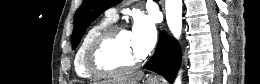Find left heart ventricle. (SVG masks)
<instances>
[{"label": "left heart ventricle", "instance_id": "1", "mask_svg": "<svg viewBox=\"0 0 260 84\" xmlns=\"http://www.w3.org/2000/svg\"><path fill=\"white\" fill-rule=\"evenodd\" d=\"M108 60L119 66H128L140 57L134 49L132 37L129 31L122 30L110 45L107 54Z\"/></svg>", "mask_w": 260, "mask_h": 84}]
</instances>
